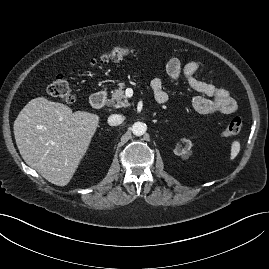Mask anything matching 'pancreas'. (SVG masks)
Wrapping results in <instances>:
<instances>
[{
  "label": "pancreas",
  "mask_w": 269,
  "mask_h": 269,
  "mask_svg": "<svg viewBox=\"0 0 269 269\" xmlns=\"http://www.w3.org/2000/svg\"><path fill=\"white\" fill-rule=\"evenodd\" d=\"M125 84L120 83L119 87L112 92L111 99L108 100L107 105L110 107L121 108L129 106L128 100L124 93Z\"/></svg>",
  "instance_id": "pancreas-1"
}]
</instances>
